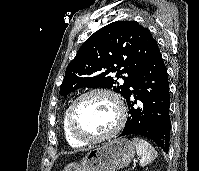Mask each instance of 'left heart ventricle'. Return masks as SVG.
<instances>
[{"mask_svg":"<svg viewBox=\"0 0 199 171\" xmlns=\"http://www.w3.org/2000/svg\"><path fill=\"white\" fill-rule=\"evenodd\" d=\"M118 121L114 101L105 95L96 94L83 99L76 111L77 128L88 136H100L111 131Z\"/></svg>","mask_w":199,"mask_h":171,"instance_id":"obj_1","label":"left heart ventricle"}]
</instances>
